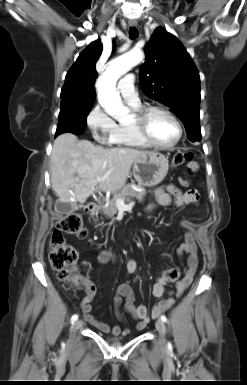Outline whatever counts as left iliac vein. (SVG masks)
Here are the masks:
<instances>
[{"label":"left iliac vein","instance_id":"1","mask_svg":"<svg viewBox=\"0 0 247 385\" xmlns=\"http://www.w3.org/2000/svg\"><path fill=\"white\" fill-rule=\"evenodd\" d=\"M156 329L160 335V343H165V333H166V326L165 323L162 320H157L155 323Z\"/></svg>","mask_w":247,"mask_h":385}]
</instances>
